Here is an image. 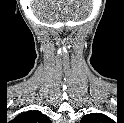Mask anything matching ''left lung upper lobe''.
<instances>
[{"label": "left lung upper lobe", "mask_w": 124, "mask_h": 123, "mask_svg": "<svg viewBox=\"0 0 124 123\" xmlns=\"http://www.w3.org/2000/svg\"><path fill=\"white\" fill-rule=\"evenodd\" d=\"M107 117L101 113H91L83 116L80 123H101Z\"/></svg>", "instance_id": "left-lung-upper-lobe-1"}]
</instances>
